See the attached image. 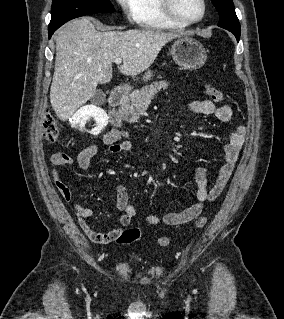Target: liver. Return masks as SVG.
Segmentation results:
<instances>
[{
	"label": "liver",
	"mask_w": 284,
	"mask_h": 319,
	"mask_svg": "<svg viewBox=\"0 0 284 319\" xmlns=\"http://www.w3.org/2000/svg\"><path fill=\"white\" fill-rule=\"evenodd\" d=\"M177 33L161 30L97 31L90 18L70 21L55 34L56 57L50 102L57 117L67 120L112 79V63L120 58L122 74L147 70L162 47Z\"/></svg>",
	"instance_id": "6515ba94"
}]
</instances>
